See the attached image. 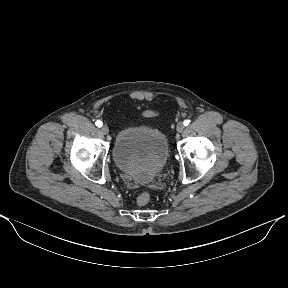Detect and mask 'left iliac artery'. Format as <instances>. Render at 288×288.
<instances>
[{
  "label": "left iliac artery",
  "mask_w": 288,
  "mask_h": 288,
  "mask_svg": "<svg viewBox=\"0 0 288 288\" xmlns=\"http://www.w3.org/2000/svg\"><path fill=\"white\" fill-rule=\"evenodd\" d=\"M189 123H190V121H189V120H184V122H183V125H184V126H188V125H189Z\"/></svg>",
  "instance_id": "44dca946"
}]
</instances>
